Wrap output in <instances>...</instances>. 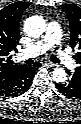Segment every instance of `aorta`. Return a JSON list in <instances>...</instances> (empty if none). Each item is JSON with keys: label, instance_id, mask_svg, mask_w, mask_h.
<instances>
[{"label": "aorta", "instance_id": "762f6f07", "mask_svg": "<svg viewBox=\"0 0 81 124\" xmlns=\"http://www.w3.org/2000/svg\"><path fill=\"white\" fill-rule=\"evenodd\" d=\"M46 28V23L42 17L39 16H31L28 19H26L24 24V30L25 32L30 36L37 38L41 36ZM54 81L58 83H62L67 78V73L63 68H56L53 71L52 75Z\"/></svg>", "mask_w": 81, "mask_h": 124}]
</instances>
